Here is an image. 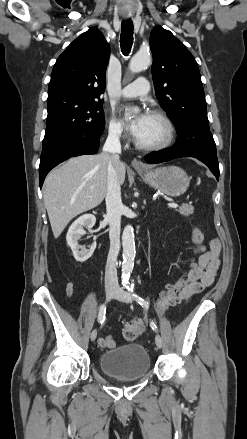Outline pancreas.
<instances>
[{
	"label": "pancreas",
	"mask_w": 247,
	"mask_h": 439,
	"mask_svg": "<svg viewBox=\"0 0 247 439\" xmlns=\"http://www.w3.org/2000/svg\"><path fill=\"white\" fill-rule=\"evenodd\" d=\"M194 207L190 204H183L177 211L183 216H190L193 214Z\"/></svg>",
	"instance_id": "obj_1"
}]
</instances>
